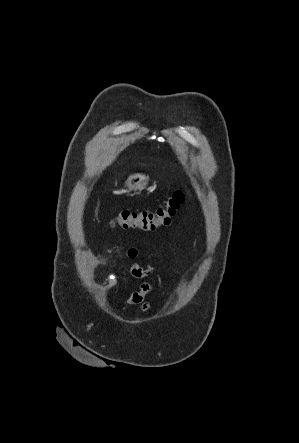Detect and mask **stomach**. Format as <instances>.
Wrapping results in <instances>:
<instances>
[{"label": "stomach", "instance_id": "1", "mask_svg": "<svg viewBox=\"0 0 299 443\" xmlns=\"http://www.w3.org/2000/svg\"><path fill=\"white\" fill-rule=\"evenodd\" d=\"M147 181H148V177H146L143 174L137 173V174H133V175L129 176V178L125 182V185L129 190H134V191L140 192L146 188Z\"/></svg>", "mask_w": 299, "mask_h": 443}]
</instances>
